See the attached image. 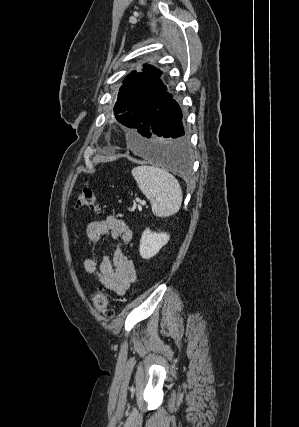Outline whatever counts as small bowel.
<instances>
[{
  "label": "small bowel",
  "mask_w": 299,
  "mask_h": 427,
  "mask_svg": "<svg viewBox=\"0 0 299 427\" xmlns=\"http://www.w3.org/2000/svg\"><path fill=\"white\" fill-rule=\"evenodd\" d=\"M87 236L93 243H97L103 236L129 242L132 232L124 220L108 215L103 220L91 222L87 227ZM84 270L96 277L104 288L119 296L124 295L137 278L133 261L121 248L116 249L111 257L104 256L100 261L94 257L85 259Z\"/></svg>",
  "instance_id": "small-bowel-1"
}]
</instances>
